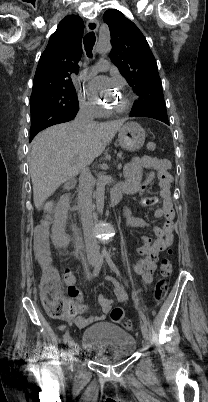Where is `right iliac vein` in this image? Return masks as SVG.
<instances>
[{
  "label": "right iliac vein",
  "instance_id": "obj_1",
  "mask_svg": "<svg viewBox=\"0 0 208 402\" xmlns=\"http://www.w3.org/2000/svg\"><path fill=\"white\" fill-rule=\"evenodd\" d=\"M89 265H91L92 267L96 265L97 263V258L96 257H91L88 259ZM69 358L70 361L73 362L74 361V355H75V351H76V346H75V342L72 338H70L69 342Z\"/></svg>",
  "mask_w": 208,
  "mask_h": 402
}]
</instances>
